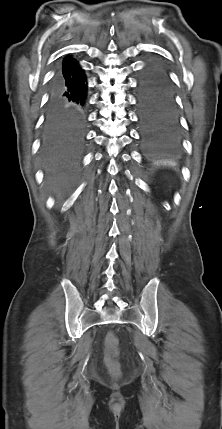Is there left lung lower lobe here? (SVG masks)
<instances>
[{
    "label": "left lung lower lobe",
    "instance_id": "left-lung-lower-lobe-1",
    "mask_svg": "<svg viewBox=\"0 0 222 429\" xmlns=\"http://www.w3.org/2000/svg\"><path fill=\"white\" fill-rule=\"evenodd\" d=\"M137 108L142 144L152 155L174 151L180 142L175 91L165 67L153 62L142 71L137 87Z\"/></svg>",
    "mask_w": 222,
    "mask_h": 429
}]
</instances>
